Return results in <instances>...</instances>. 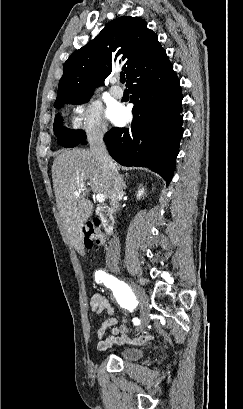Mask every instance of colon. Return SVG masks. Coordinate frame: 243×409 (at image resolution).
Segmentation results:
<instances>
[{
  "label": "colon",
  "instance_id": "1",
  "mask_svg": "<svg viewBox=\"0 0 243 409\" xmlns=\"http://www.w3.org/2000/svg\"><path fill=\"white\" fill-rule=\"evenodd\" d=\"M84 242L87 247L102 244L104 239L99 233L96 224H88L83 228Z\"/></svg>",
  "mask_w": 243,
  "mask_h": 409
}]
</instances>
